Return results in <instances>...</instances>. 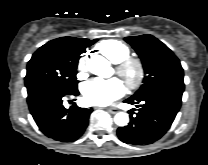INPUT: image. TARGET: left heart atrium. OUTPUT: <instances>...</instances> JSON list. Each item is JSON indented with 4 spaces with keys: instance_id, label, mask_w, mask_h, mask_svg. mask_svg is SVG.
I'll return each instance as SVG.
<instances>
[{
    "instance_id": "obj_1",
    "label": "left heart atrium",
    "mask_w": 208,
    "mask_h": 165,
    "mask_svg": "<svg viewBox=\"0 0 208 165\" xmlns=\"http://www.w3.org/2000/svg\"><path fill=\"white\" fill-rule=\"evenodd\" d=\"M125 92L123 82L118 78L94 79L84 85L85 100L93 105L105 106L120 98Z\"/></svg>"
}]
</instances>
